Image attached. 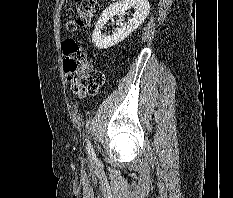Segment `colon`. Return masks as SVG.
<instances>
[{
	"mask_svg": "<svg viewBox=\"0 0 233 198\" xmlns=\"http://www.w3.org/2000/svg\"><path fill=\"white\" fill-rule=\"evenodd\" d=\"M77 17L72 19L73 11H68L69 20L65 29L75 33L79 27H85L96 17L99 11L98 0H72ZM63 66L73 91L77 93H95L103 84L102 72L90 67L84 50L78 43L68 38L63 42Z\"/></svg>",
	"mask_w": 233,
	"mask_h": 198,
	"instance_id": "1",
	"label": "colon"
}]
</instances>
